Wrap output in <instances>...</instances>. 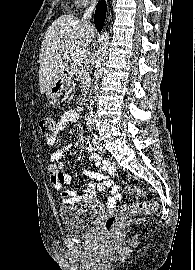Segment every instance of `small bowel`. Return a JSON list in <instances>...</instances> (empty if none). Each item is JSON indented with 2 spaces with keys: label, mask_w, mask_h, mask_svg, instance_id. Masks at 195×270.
Segmentation results:
<instances>
[{
  "label": "small bowel",
  "mask_w": 195,
  "mask_h": 270,
  "mask_svg": "<svg viewBox=\"0 0 195 270\" xmlns=\"http://www.w3.org/2000/svg\"><path fill=\"white\" fill-rule=\"evenodd\" d=\"M78 114L74 110L65 111L59 118L54 133L48 137L47 144L55 147L57 144V135L60 131L64 130L69 124L76 122ZM71 145H67L65 149L70 148ZM87 150L90 154V159L95 167L100 171L98 172H86L84 176L96 180V183H90L87 185L83 194L75 191H63L64 185H69L72 182V175L64 172L65 164L61 161L63 157V149L56 148L50 158V162L47 165V170L50 176V182L52 186L61 192L62 202L64 204H75L78 202L93 203L95 201L96 193L109 189L110 196L107 199V206L113 208L120 198V187L116 185L112 177L116 174V168L101 158L92 148L91 145L87 146Z\"/></svg>",
  "instance_id": "obj_1"
}]
</instances>
